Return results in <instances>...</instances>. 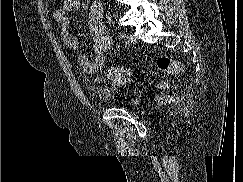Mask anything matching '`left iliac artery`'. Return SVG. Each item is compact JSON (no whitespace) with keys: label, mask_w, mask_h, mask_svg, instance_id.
<instances>
[{"label":"left iliac artery","mask_w":243,"mask_h":182,"mask_svg":"<svg viewBox=\"0 0 243 182\" xmlns=\"http://www.w3.org/2000/svg\"><path fill=\"white\" fill-rule=\"evenodd\" d=\"M119 37L122 39V38H125V37H126V35H125V34L120 33V34H119Z\"/></svg>","instance_id":"obj_1"}]
</instances>
